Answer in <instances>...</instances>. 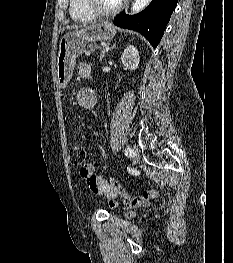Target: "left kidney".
Instances as JSON below:
<instances>
[{"label": "left kidney", "mask_w": 233, "mask_h": 263, "mask_svg": "<svg viewBox=\"0 0 233 263\" xmlns=\"http://www.w3.org/2000/svg\"><path fill=\"white\" fill-rule=\"evenodd\" d=\"M121 62L127 69L136 70L140 62L138 50L133 45H129L121 56Z\"/></svg>", "instance_id": "5707ae66"}]
</instances>
